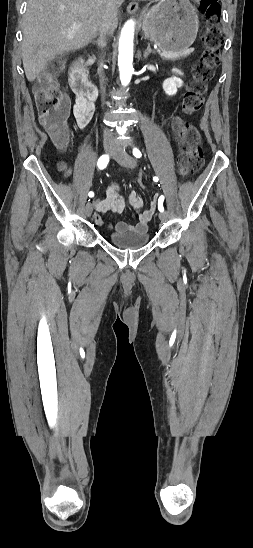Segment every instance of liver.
<instances>
[{"label": "liver", "mask_w": 253, "mask_h": 548, "mask_svg": "<svg viewBox=\"0 0 253 548\" xmlns=\"http://www.w3.org/2000/svg\"><path fill=\"white\" fill-rule=\"evenodd\" d=\"M104 0H28L22 61L29 82L56 56L87 46L102 22ZM118 24L117 16L114 27Z\"/></svg>", "instance_id": "1"}]
</instances>
